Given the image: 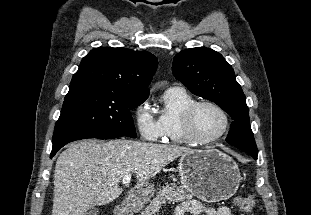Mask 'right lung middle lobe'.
I'll return each instance as SVG.
<instances>
[{"label": "right lung middle lobe", "instance_id": "dd1d6c3e", "mask_svg": "<svg viewBox=\"0 0 311 215\" xmlns=\"http://www.w3.org/2000/svg\"><path fill=\"white\" fill-rule=\"evenodd\" d=\"M148 96L94 86L69 89L56 122L53 143L80 136L136 137L131 110Z\"/></svg>", "mask_w": 311, "mask_h": 215}]
</instances>
